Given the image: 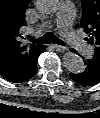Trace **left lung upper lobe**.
I'll return each mask as SVG.
<instances>
[{
  "instance_id": "obj_1",
  "label": "left lung upper lobe",
  "mask_w": 100,
  "mask_h": 118,
  "mask_svg": "<svg viewBox=\"0 0 100 118\" xmlns=\"http://www.w3.org/2000/svg\"><path fill=\"white\" fill-rule=\"evenodd\" d=\"M83 15L81 26L89 34L86 38L95 50L94 55L100 57V0H81Z\"/></svg>"
}]
</instances>
